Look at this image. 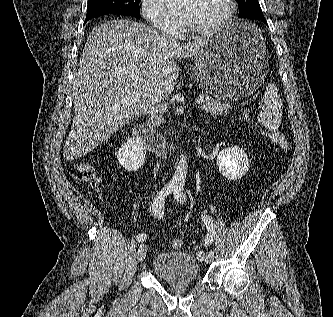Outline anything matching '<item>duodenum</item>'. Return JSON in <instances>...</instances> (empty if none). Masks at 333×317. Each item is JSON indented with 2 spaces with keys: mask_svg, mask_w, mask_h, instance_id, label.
<instances>
[{
  "mask_svg": "<svg viewBox=\"0 0 333 317\" xmlns=\"http://www.w3.org/2000/svg\"><path fill=\"white\" fill-rule=\"evenodd\" d=\"M132 135L148 150L155 154L161 157H166L168 155V143L162 135L146 130L141 126L134 127Z\"/></svg>",
  "mask_w": 333,
  "mask_h": 317,
  "instance_id": "duodenum-1",
  "label": "duodenum"
}]
</instances>
